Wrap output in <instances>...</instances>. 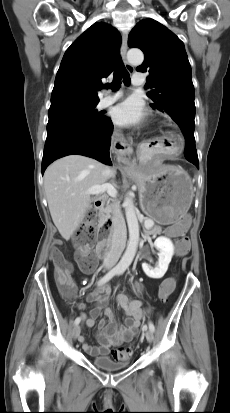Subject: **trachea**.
<instances>
[{"label": "trachea", "mask_w": 230, "mask_h": 413, "mask_svg": "<svg viewBox=\"0 0 230 413\" xmlns=\"http://www.w3.org/2000/svg\"><path fill=\"white\" fill-rule=\"evenodd\" d=\"M121 80L126 86L130 85L131 79L120 57L117 58L116 68L113 75V81L106 85V88L118 90L121 86Z\"/></svg>", "instance_id": "1"}]
</instances>
